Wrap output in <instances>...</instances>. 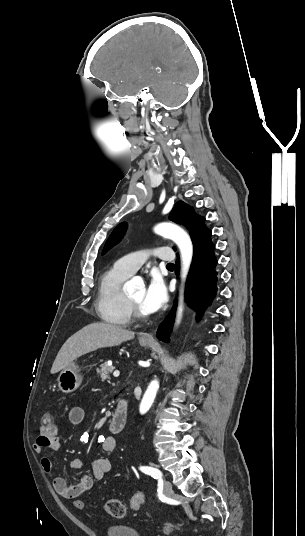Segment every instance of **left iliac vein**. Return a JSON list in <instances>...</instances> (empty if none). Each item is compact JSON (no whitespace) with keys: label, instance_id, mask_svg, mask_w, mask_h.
I'll use <instances>...</instances> for the list:
<instances>
[{"label":"left iliac vein","instance_id":"left-iliac-vein-1","mask_svg":"<svg viewBox=\"0 0 305 536\" xmlns=\"http://www.w3.org/2000/svg\"><path fill=\"white\" fill-rule=\"evenodd\" d=\"M163 492H164L165 496H167V497L172 495L173 489H172V485H171L170 481H168V480L164 481V491Z\"/></svg>","mask_w":305,"mask_h":536}]
</instances>
